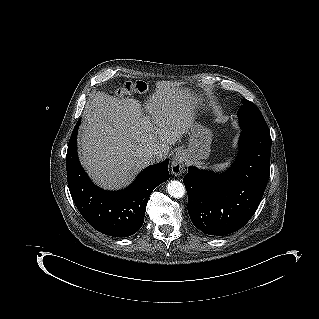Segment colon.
Segmentation results:
<instances>
[{
	"label": "colon",
	"mask_w": 319,
	"mask_h": 319,
	"mask_svg": "<svg viewBox=\"0 0 319 319\" xmlns=\"http://www.w3.org/2000/svg\"><path fill=\"white\" fill-rule=\"evenodd\" d=\"M148 85L143 81H126L118 89L119 94L144 93Z\"/></svg>",
	"instance_id": "1"
}]
</instances>
